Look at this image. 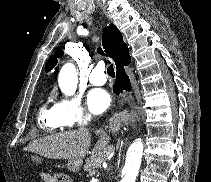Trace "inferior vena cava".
I'll return each instance as SVG.
<instances>
[{
    "label": "inferior vena cava",
    "mask_w": 211,
    "mask_h": 182,
    "mask_svg": "<svg viewBox=\"0 0 211 182\" xmlns=\"http://www.w3.org/2000/svg\"><path fill=\"white\" fill-rule=\"evenodd\" d=\"M88 118H89V117H85V118L83 119V126L87 123ZM81 129H82V128H81Z\"/></svg>",
    "instance_id": "602c4592"
}]
</instances>
